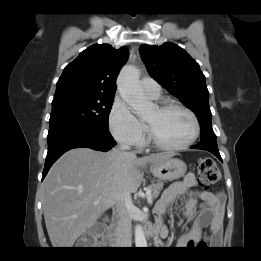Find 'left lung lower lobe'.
I'll return each mask as SVG.
<instances>
[{"label": "left lung lower lobe", "mask_w": 261, "mask_h": 261, "mask_svg": "<svg viewBox=\"0 0 261 261\" xmlns=\"http://www.w3.org/2000/svg\"><path fill=\"white\" fill-rule=\"evenodd\" d=\"M194 149H202L207 150L214 154L219 160L222 161V158L220 156L218 147H217V139H205L201 140L197 145L191 147Z\"/></svg>", "instance_id": "left-lung-lower-lobe-1"}]
</instances>
